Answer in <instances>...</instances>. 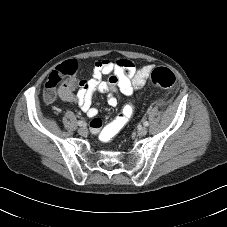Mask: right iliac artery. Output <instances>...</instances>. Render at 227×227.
Masks as SVG:
<instances>
[{
  "instance_id": "1",
  "label": "right iliac artery",
  "mask_w": 227,
  "mask_h": 227,
  "mask_svg": "<svg viewBox=\"0 0 227 227\" xmlns=\"http://www.w3.org/2000/svg\"><path fill=\"white\" fill-rule=\"evenodd\" d=\"M78 125H79V126H84V125H85V122H83V121H78Z\"/></svg>"
}]
</instances>
